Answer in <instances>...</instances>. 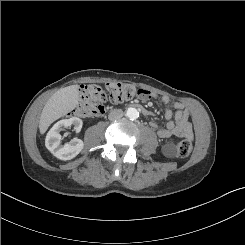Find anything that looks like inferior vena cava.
<instances>
[{"instance_id":"obj_1","label":"inferior vena cava","mask_w":245,"mask_h":245,"mask_svg":"<svg viewBox=\"0 0 245 245\" xmlns=\"http://www.w3.org/2000/svg\"><path fill=\"white\" fill-rule=\"evenodd\" d=\"M122 116L123 111L121 109H114L109 113L108 118L109 120L114 121L122 118Z\"/></svg>"}]
</instances>
